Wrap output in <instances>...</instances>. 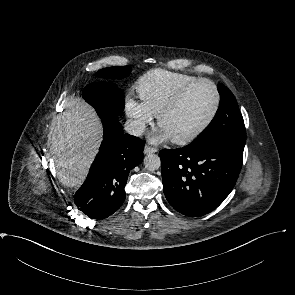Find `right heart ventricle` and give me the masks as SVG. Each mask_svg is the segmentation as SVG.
Wrapping results in <instances>:
<instances>
[{"label": "right heart ventricle", "instance_id": "e07e8e85", "mask_svg": "<svg viewBox=\"0 0 295 295\" xmlns=\"http://www.w3.org/2000/svg\"><path fill=\"white\" fill-rule=\"evenodd\" d=\"M196 79L192 75L156 69L139 79L137 90L147 107L158 115L178 91Z\"/></svg>", "mask_w": 295, "mask_h": 295}]
</instances>
